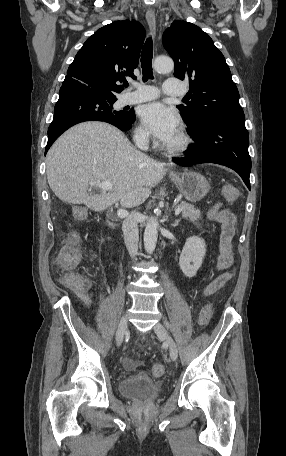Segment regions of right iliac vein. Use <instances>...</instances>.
I'll return each mask as SVG.
<instances>
[{
	"label": "right iliac vein",
	"mask_w": 286,
	"mask_h": 456,
	"mask_svg": "<svg viewBox=\"0 0 286 456\" xmlns=\"http://www.w3.org/2000/svg\"><path fill=\"white\" fill-rule=\"evenodd\" d=\"M127 331H128V323H127V318L124 315L119 322L118 329L116 332L117 346H120L122 344Z\"/></svg>",
	"instance_id": "right-iliac-vein-1"
}]
</instances>
